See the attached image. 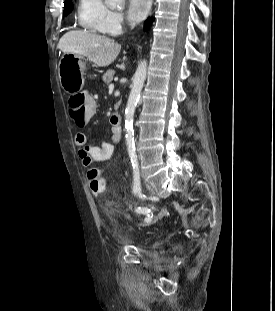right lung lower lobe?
<instances>
[{
    "label": "right lung lower lobe",
    "instance_id": "98d812e1",
    "mask_svg": "<svg viewBox=\"0 0 275 311\" xmlns=\"http://www.w3.org/2000/svg\"><path fill=\"white\" fill-rule=\"evenodd\" d=\"M148 22H149V19H147V20L145 21L144 28H146V27H147Z\"/></svg>",
    "mask_w": 275,
    "mask_h": 311
}]
</instances>
